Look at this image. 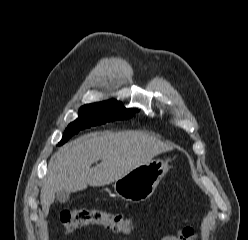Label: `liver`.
<instances>
[{"mask_svg":"<svg viewBox=\"0 0 248 240\" xmlns=\"http://www.w3.org/2000/svg\"><path fill=\"white\" fill-rule=\"evenodd\" d=\"M172 147L138 131L89 133L61 147L51 158L40 200L44 216L58 191L77 192L121 178ZM101 163L91 168V165Z\"/></svg>","mask_w":248,"mask_h":240,"instance_id":"obj_1","label":"liver"}]
</instances>
